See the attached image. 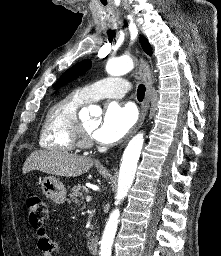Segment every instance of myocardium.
Returning <instances> with one entry per match:
<instances>
[{
	"label": "myocardium",
	"mask_w": 221,
	"mask_h": 256,
	"mask_svg": "<svg viewBox=\"0 0 221 256\" xmlns=\"http://www.w3.org/2000/svg\"><path fill=\"white\" fill-rule=\"evenodd\" d=\"M77 145L81 147H90L92 145V139L90 132H88L83 123L79 121L76 129Z\"/></svg>",
	"instance_id": "1"
}]
</instances>
